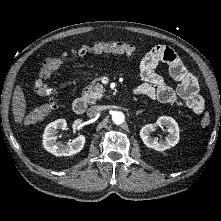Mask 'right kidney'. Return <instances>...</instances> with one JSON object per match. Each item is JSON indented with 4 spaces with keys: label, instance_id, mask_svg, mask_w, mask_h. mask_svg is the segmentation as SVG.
<instances>
[{
    "label": "right kidney",
    "instance_id": "ca27d5eb",
    "mask_svg": "<svg viewBox=\"0 0 221 221\" xmlns=\"http://www.w3.org/2000/svg\"><path fill=\"white\" fill-rule=\"evenodd\" d=\"M67 122L65 119H58L48 124L43 134L44 148L55 156H72L79 153L86 142L84 135H79L77 138L69 141L67 144L58 142L56 132L59 129H66Z\"/></svg>",
    "mask_w": 221,
    "mask_h": 221
}]
</instances>
